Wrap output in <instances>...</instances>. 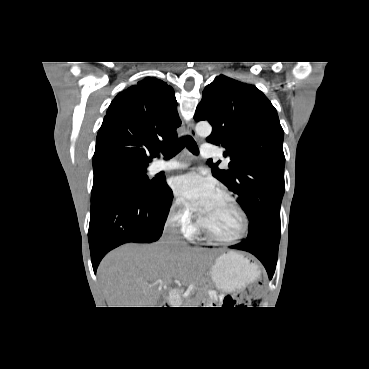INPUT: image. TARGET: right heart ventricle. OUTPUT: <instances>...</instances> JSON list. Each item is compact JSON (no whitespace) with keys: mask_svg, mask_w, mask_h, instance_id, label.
Here are the masks:
<instances>
[{"mask_svg":"<svg viewBox=\"0 0 369 369\" xmlns=\"http://www.w3.org/2000/svg\"><path fill=\"white\" fill-rule=\"evenodd\" d=\"M193 232H195V230H192L190 233H193Z\"/></svg>","mask_w":369,"mask_h":369,"instance_id":"obj_1","label":"right heart ventricle"}]
</instances>
